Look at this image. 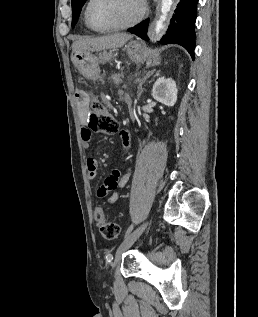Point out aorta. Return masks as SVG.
Returning <instances> with one entry per match:
<instances>
[{
    "instance_id": "1",
    "label": "aorta",
    "mask_w": 258,
    "mask_h": 317,
    "mask_svg": "<svg viewBox=\"0 0 258 317\" xmlns=\"http://www.w3.org/2000/svg\"><path fill=\"white\" fill-rule=\"evenodd\" d=\"M173 0H161V15L156 21L154 34L157 36L161 30L165 27V22L167 20V15L171 9Z\"/></svg>"
}]
</instances>
